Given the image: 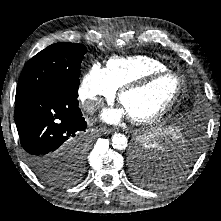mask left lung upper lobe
<instances>
[{
	"mask_svg": "<svg viewBox=\"0 0 221 221\" xmlns=\"http://www.w3.org/2000/svg\"><path fill=\"white\" fill-rule=\"evenodd\" d=\"M150 152L151 150L147 149L145 153H150ZM153 162H154L153 157L149 156L146 161L140 158L138 159V162L135 164L134 177L139 183L145 186L153 185L151 180L154 178V175H156V172L155 170H152L151 167H148V165L152 164Z\"/></svg>",
	"mask_w": 221,
	"mask_h": 221,
	"instance_id": "5c2ea615",
	"label": "left lung upper lobe"
}]
</instances>
